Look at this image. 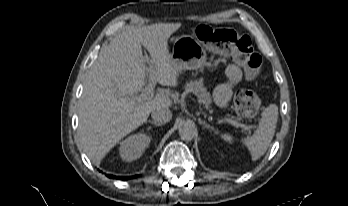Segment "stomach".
<instances>
[{
    "mask_svg": "<svg viewBox=\"0 0 348 206\" xmlns=\"http://www.w3.org/2000/svg\"><path fill=\"white\" fill-rule=\"evenodd\" d=\"M170 58L177 73L182 70H203L207 54L194 36L181 35L174 41Z\"/></svg>",
    "mask_w": 348,
    "mask_h": 206,
    "instance_id": "0dacf381",
    "label": "stomach"
}]
</instances>
